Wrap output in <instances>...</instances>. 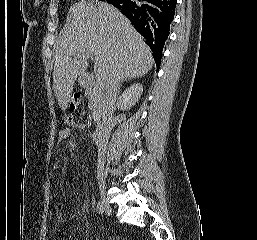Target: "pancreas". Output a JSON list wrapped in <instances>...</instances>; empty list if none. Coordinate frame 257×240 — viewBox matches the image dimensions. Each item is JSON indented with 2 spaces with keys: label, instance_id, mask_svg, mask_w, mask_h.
Wrapping results in <instances>:
<instances>
[{
  "label": "pancreas",
  "instance_id": "pancreas-1",
  "mask_svg": "<svg viewBox=\"0 0 257 240\" xmlns=\"http://www.w3.org/2000/svg\"><path fill=\"white\" fill-rule=\"evenodd\" d=\"M85 88V96L89 101V106L100 113L104 107V96L102 91L97 90L90 85H86Z\"/></svg>",
  "mask_w": 257,
  "mask_h": 240
}]
</instances>
